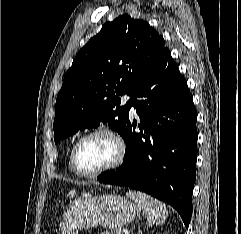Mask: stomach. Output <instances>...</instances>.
<instances>
[{
	"label": "stomach",
	"mask_w": 241,
	"mask_h": 234,
	"mask_svg": "<svg viewBox=\"0 0 241 234\" xmlns=\"http://www.w3.org/2000/svg\"><path fill=\"white\" fill-rule=\"evenodd\" d=\"M137 207L128 198L104 194L86 195L69 206L62 234H77L81 229L103 226L119 229L136 217Z\"/></svg>",
	"instance_id": "stomach-1"
}]
</instances>
